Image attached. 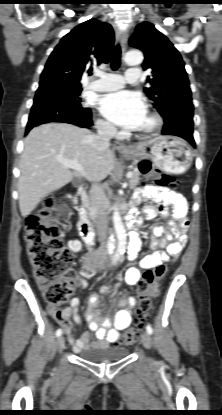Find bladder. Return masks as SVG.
<instances>
[{
    "instance_id": "31cf9c89",
    "label": "bladder",
    "mask_w": 222,
    "mask_h": 415,
    "mask_svg": "<svg viewBox=\"0 0 222 415\" xmlns=\"http://www.w3.org/2000/svg\"><path fill=\"white\" fill-rule=\"evenodd\" d=\"M79 357L89 362H111L125 358L129 355V349L118 346L101 348H89L78 352Z\"/></svg>"
}]
</instances>
